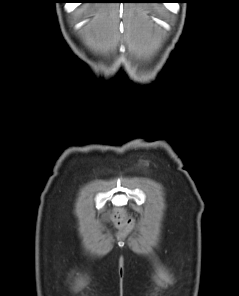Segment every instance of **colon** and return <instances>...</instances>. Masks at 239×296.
<instances>
[{
	"label": "colon",
	"instance_id": "colon-1",
	"mask_svg": "<svg viewBox=\"0 0 239 296\" xmlns=\"http://www.w3.org/2000/svg\"><path fill=\"white\" fill-rule=\"evenodd\" d=\"M115 224L124 229H131L133 227L132 221L121 209H115L112 214Z\"/></svg>",
	"mask_w": 239,
	"mask_h": 296
}]
</instances>
